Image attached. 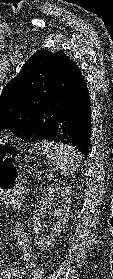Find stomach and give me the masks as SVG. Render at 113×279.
<instances>
[{
	"label": "stomach",
	"mask_w": 113,
	"mask_h": 279,
	"mask_svg": "<svg viewBox=\"0 0 113 279\" xmlns=\"http://www.w3.org/2000/svg\"><path fill=\"white\" fill-rule=\"evenodd\" d=\"M30 159H31L30 156L25 155V157H24L25 162H28Z\"/></svg>",
	"instance_id": "stomach-1"
}]
</instances>
